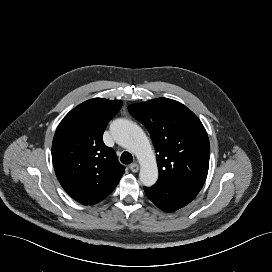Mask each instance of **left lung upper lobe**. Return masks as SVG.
<instances>
[{"label": "left lung upper lobe", "mask_w": 272, "mask_h": 272, "mask_svg": "<svg viewBox=\"0 0 272 272\" xmlns=\"http://www.w3.org/2000/svg\"><path fill=\"white\" fill-rule=\"evenodd\" d=\"M128 110L151 135L157 153V182L199 192L208 173L210 145L198 117L185 105L167 98L132 104Z\"/></svg>", "instance_id": "obj_1"}]
</instances>
